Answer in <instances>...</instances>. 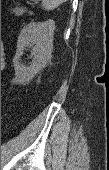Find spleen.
Here are the masks:
<instances>
[{"label": "spleen", "instance_id": "3e777b00", "mask_svg": "<svg viewBox=\"0 0 109 170\" xmlns=\"http://www.w3.org/2000/svg\"><path fill=\"white\" fill-rule=\"evenodd\" d=\"M64 1V0H42V2L47 6V7H53L57 3Z\"/></svg>", "mask_w": 109, "mask_h": 170}]
</instances>
